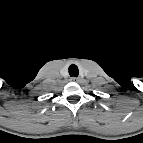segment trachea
<instances>
[{
	"instance_id": "1",
	"label": "trachea",
	"mask_w": 143,
	"mask_h": 143,
	"mask_svg": "<svg viewBox=\"0 0 143 143\" xmlns=\"http://www.w3.org/2000/svg\"><path fill=\"white\" fill-rule=\"evenodd\" d=\"M68 70L71 77H77L79 75L78 67L74 64L70 65Z\"/></svg>"
}]
</instances>
